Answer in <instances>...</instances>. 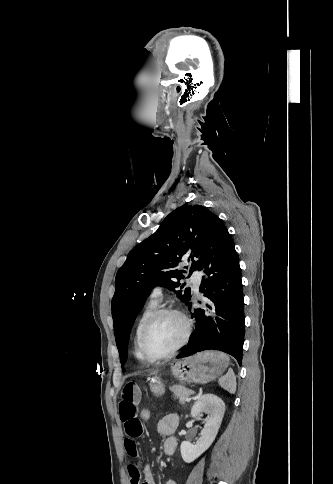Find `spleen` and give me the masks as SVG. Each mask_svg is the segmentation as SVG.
I'll return each mask as SVG.
<instances>
[{
  "label": "spleen",
  "instance_id": "1",
  "mask_svg": "<svg viewBox=\"0 0 333 484\" xmlns=\"http://www.w3.org/2000/svg\"><path fill=\"white\" fill-rule=\"evenodd\" d=\"M219 385L230 394H235L237 383L236 376L233 370L230 369L224 376L219 379Z\"/></svg>",
  "mask_w": 333,
  "mask_h": 484
}]
</instances>
